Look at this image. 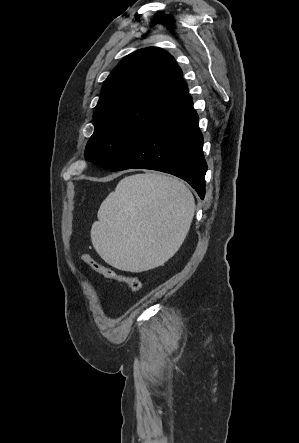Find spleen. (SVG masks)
I'll use <instances>...</instances> for the list:
<instances>
[{
  "mask_svg": "<svg viewBox=\"0 0 299 443\" xmlns=\"http://www.w3.org/2000/svg\"><path fill=\"white\" fill-rule=\"evenodd\" d=\"M194 210L193 195L183 182L156 173L128 176L102 202L92 244L119 270L153 269L182 245Z\"/></svg>",
  "mask_w": 299,
  "mask_h": 443,
  "instance_id": "obj_1",
  "label": "spleen"
}]
</instances>
